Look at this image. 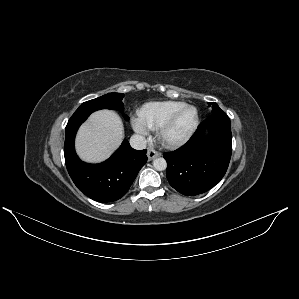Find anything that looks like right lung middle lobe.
<instances>
[{
    "label": "right lung middle lobe",
    "instance_id": "dd1d6c3e",
    "mask_svg": "<svg viewBox=\"0 0 299 299\" xmlns=\"http://www.w3.org/2000/svg\"><path fill=\"white\" fill-rule=\"evenodd\" d=\"M124 94L108 93L101 97L82 103L73 115H90L92 112L100 109H116L123 111L124 104L122 99ZM128 119V117H125Z\"/></svg>",
    "mask_w": 299,
    "mask_h": 299
}]
</instances>
